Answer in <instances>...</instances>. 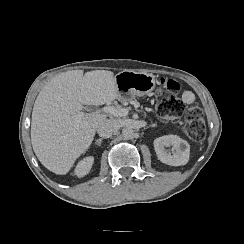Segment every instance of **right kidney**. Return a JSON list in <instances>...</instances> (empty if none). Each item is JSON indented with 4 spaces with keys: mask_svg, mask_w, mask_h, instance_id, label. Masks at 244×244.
Wrapping results in <instances>:
<instances>
[{
    "mask_svg": "<svg viewBox=\"0 0 244 244\" xmlns=\"http://www.w3.org/2000/svg\"><path fill=\"white\" fill-rule=\"evenodd\" d=\"M93 160L94 158L93 157H89V158H86L84 159L83 161H81L76 170H75V174L78 176V177H83L85 176L86 174L89 173L90 169H91V166H92V163H93Z\"/></svg>",
    "mask_w": 244,
    "mask_h": 244,
    "instance_id": "obj_1",
    "label": "right kidney"
}]
</instances>
